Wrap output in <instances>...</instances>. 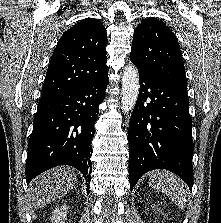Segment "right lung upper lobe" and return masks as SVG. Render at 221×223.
Returning <instances> with one entry per match:
<instances>
[{
	"instance_id": "right-lung-upper-lobe-1",
	"label": "right lung upper lobe",
	"mask_w": 221,
	"mask_h": 223,
	"mask_svg": "<svg viewBox=\"0 0 221 223\" xmlns=\"http://www.w3.org/2000/svg\"><path fill=\"white\" fill-rule=\"evenodd\" d=\"M106 45V29L97 19L85 18L67 30L51 57L40 100L71 91L108 71Z\"/></svg>"
}]
</instances>
